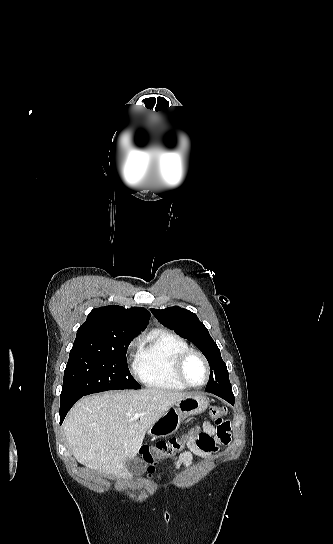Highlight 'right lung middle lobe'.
Here are the masks:
<instances>
[{"mask_svg": "<svg viewBox=\"0 0 333 544\" xmlns=\"http://www.w3.org/2000/svg\"><path fill=\"white\" fill-rule=\"evenodd\" d=\"M132 340L133 337L117 338L106 349H72L64 370L61 397L141 388L127 366L126 352Z\"/></svg>", "mask_w": 333, "mask_h": 544, "instance_id": "obj_1", "label": "right lung middle lobe"}]
</instances>
